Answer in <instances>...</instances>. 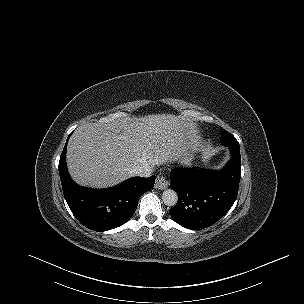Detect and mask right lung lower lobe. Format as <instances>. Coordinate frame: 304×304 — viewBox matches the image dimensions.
I'll return each mask as SVG.
<instances>
[{
  "label": "right lung lower lobe",
  "instance_id": "right-lung-lower-lobe-1",
  "mask_svg": "<svg viewBox=\"0 0 304 304\" xmlns=\"http://www.w3.org/2000/svg\"><path fill=\"white\" fill-rule=\"evenodd\" d=\"M65 147L60 156L59 174L64 197L77 220L94 231L117 228L134 214L140 197L151 190L155 176L133 177L107 189H90L78 186L70 178L66 167Z\"/></svg>",
  "mask_w": 304,
  "mask_h": 304
}]
</instances>
